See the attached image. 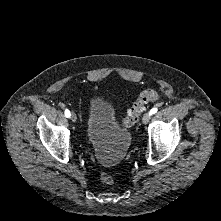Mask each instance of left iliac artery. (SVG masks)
<instances>
[{
    "mask_svg": "<svg viewBox=\"0 0 221 221\" xmlns=\"http://www.w3.org/2000/svg\"><path fill=\"white\" fill-rule=\"evenodd\" d=\"M158 111V109L156 107L152 108L149 112L150 115L155 114Z\"/></svg>",
    "mask_w": 221,
    "mask_h": 221,
    "instance_id": "left-iliac-artery-1",
    "label": "left iliac artery"
}]
</instances>
